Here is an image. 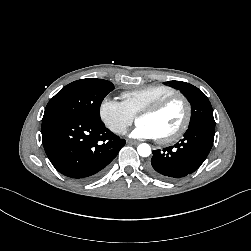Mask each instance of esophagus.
Wrapping results in <instances>:
<instances>
[{
	"mask_svg": "<svg viewBox=\"0 0 251 251\" xmlns=\"http://www.w3.org/2000/svg\"><path fill=\"white\" fill-rule=\"evenodd\" d=\"M126 142L129 145H138L139 144V141H136V140H127Z\"/></svg>",
	"mask_w": 251,
	"mask_h": 251,
	"instance_id": "34e87169",
	"label": "esophagus"
}]
</instances>
